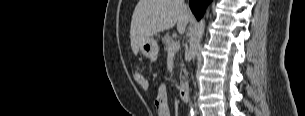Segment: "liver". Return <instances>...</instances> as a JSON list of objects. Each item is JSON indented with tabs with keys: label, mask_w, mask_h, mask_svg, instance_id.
<instances>
[{
	"label": "liver",
	"mask_w": 305,
	"mask_h": 116,
	"mask_svg": "<svg viewBox=\"0 0 305 116\" xmlns=\"http://www.w3.org/2000/svg\"><path fill=\"white\" fill-rule=\"evenodd\" d=\"M190 20L184 0H139L132 15L131 48L138 54L141 44L153 35L177 25L183 34Z\"/></svg>",
	"instance_id": "1"
}]
</instances>
